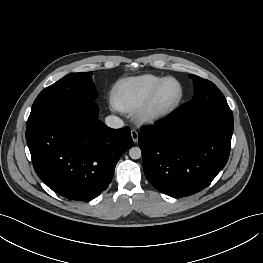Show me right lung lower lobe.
<instances>
[{
    "label": "right lung lower lobe",
    "mask_w": 263,
    "mask_h": 263,
    "mask_svg": "<svg viewBox=\"0 0 263 263\" xmlns=\"http://www.w3.org/2000/svg\"><path fill=\"white\" fill-rule=\"evenodd\" d=\"M26 141L38 177L54 192L78 201L101 194L116 163L133 146L130 129L107 127L91 99L76 113L61 109L27 128Z\"/></svg>",
    "instance_id": "98d812e1"
}]
</instances>
